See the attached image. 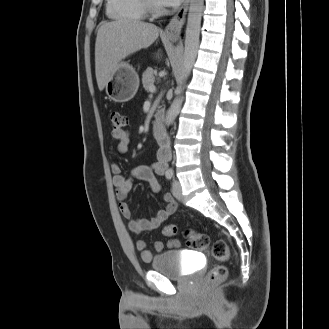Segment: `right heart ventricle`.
<instances>
[{
    "label": "right heart ventricle",
    "mask_w": 329,
    "mask_h": 329,
    "mask_svg": "<svg viewBox=\"0 0 329 329\" xmlns=\"http://www.w3.org/2000/svg\"><path fill=\"white\" fill-rule=\"evenodd\" d=\"M107 14L115 19L142 21L146 11L141 0H107Z\"/></svg>",
    "instance_id": "right-heart-ventricle-1"
}]
</instances>
